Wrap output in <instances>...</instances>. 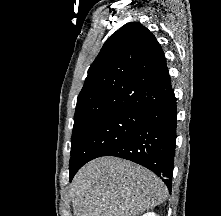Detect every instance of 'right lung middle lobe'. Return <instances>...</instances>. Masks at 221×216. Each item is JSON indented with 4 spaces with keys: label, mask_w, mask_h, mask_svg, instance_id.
<instances>
[{
    "label": "right lung middle lobe",
    "mask_w": 221,
    "mask_h": 216,
    "mask_svg": "<svg viewBox=\"0 0 221 216\" xmlns=\"http://www.w3.org/2000/svg\"><path fill=\"white\" fill-rule=\"evenodd\" d=\"M145 112L138 110L112 111L73 127L70 168L103 156L139 127Z\"/></svg>",
    "instance_id": "right-lung-middle-lobe-1"
}]
</instances>
